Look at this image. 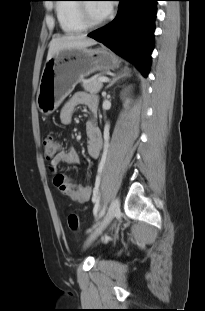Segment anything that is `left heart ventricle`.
I'll return each instance as SVG.
<instances>
[{
    "instance_id": "b2bd125f",
    "label": "left heart ventricle",
    "mask_w": 205,
    "mask_h": 311,
    "mask_svg": "<svg viewBox=\"0 0 205 311\" xmlns=\"http://www.w3.org/2000/svg\"><path fill=\"white\" fill-rule=\"evenodd\" d=\"M87 4L89 16L92 21L97 22L105 17L99 8V4L97 3H87Z\"/></svg>"
}]
</instances>
